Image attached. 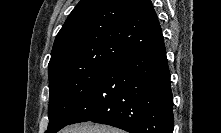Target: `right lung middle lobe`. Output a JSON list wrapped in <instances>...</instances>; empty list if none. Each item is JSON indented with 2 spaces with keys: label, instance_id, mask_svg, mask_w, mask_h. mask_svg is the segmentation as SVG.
<instances>
[{
  "label": "right lung middle lobe",
  "instance_id": "right-lung-middle-lobe-1",
  "mask_svg": "<svg viewBox=\"0 0 221 133\" xmlns=\"http://www.w3.org/2000/svg\"><path fill=\"white\" fill-rule=\"evenodd\" d=\"M110 65L63 68L49 75V125L55 133L69 124L89 100Z\"/></svg>",
  "mask_w": 221,
  "mask_h": 133
}]
</instances>
